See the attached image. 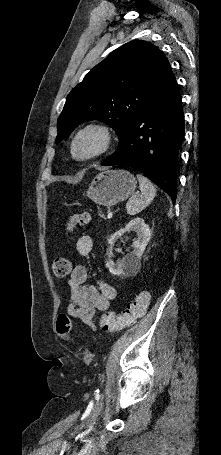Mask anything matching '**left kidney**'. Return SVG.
Segmentation results:
<instances>
[{"mask_svg": "<svg viewBox=\"0 0 221 455\" xmlns=\"http://www.w3.org/2000/svg\"><path fill=\"white\" fill-rule=\"evenodd\" d=\"M135 231L137 233V238L133 243V251L128 255L124 256L121 260H118L116 263L112 261L113 256V246L115 242L121 238L125 232ZM151 238V231L147 224H145L144 219L134 218L131 220L125 228H121L115 232L109 239V249L107 252L108 261L106 267L109 269L110 273L113 275H121L133 271L137 268L140 263L141 256ZM118 252H121L120 249H117Z\"/></svg>", "mask_w": 221, "mask_h": 455, "instance_id": "1", "label": "left kidney"}]
</instances>
